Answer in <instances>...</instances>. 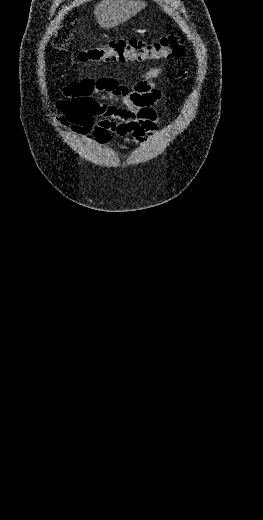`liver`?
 I'll return each mask as SVG.
<instances>
[{"label": "liver", "instance_id": "liver-1", "mask_svg": "<svg viewBox=\"0 0 263 520\" xmlns=\"http://www.w3.org/2000/svg\"><path fill=\"white\" fill-rule=\"evenodd\" d=\"M143 0H102L95 6L94 15L102 28L116 27L146 7Z\"/></svg>", "mask_w": 263, "mask_h": 520}]
</instances>
